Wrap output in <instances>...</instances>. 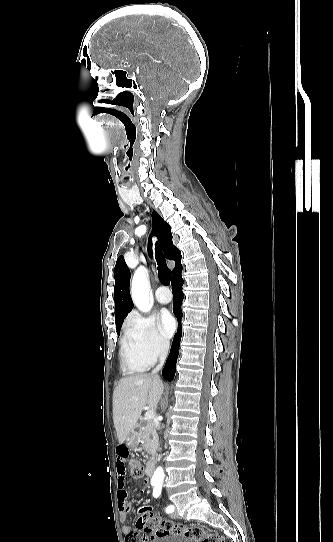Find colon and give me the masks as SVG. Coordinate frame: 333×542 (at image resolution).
Instances as JSON below:
<instances>
[{
	"mask_svg": "<svg viewBox=\"0 0 333 542\" xmlns=\"http://www.w3.org/2000/svg\"><path fill=\"white\" fill-rule=\"evenodd\" d=\"M130 465L134 478L139 479L145 475L146 466L143 463L131 460ZM151 506V503L147 501L143 507L136 510V526L142 528L146 535H151L154 532L152 535L160 539L175 536L193 542H231L230 536H219L197 525L190 526L160 519L148 510ZM140 538L141 535L138 531H129L127 534V542H144L146 540L144 537Z\"/></svg>",
	"mask_w": 333,
	"mask_h": 542,
	"instance_id": "5ec220e1",
	"label": "colon"
}]
</instances>
